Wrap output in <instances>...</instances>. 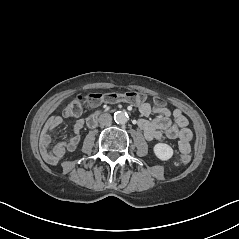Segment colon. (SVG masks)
I'll list each match as a JSON object with an SVG mask.
<instances>
[{
	"label": "colon",
	"mask_w": 239,
	"mask_h": 239,
	"mask_svg": "<svg viewBox=\"0 0 239 239\" xmlns=\"http://www.w3.org/2000/svg\"><path fill=\"white\" fill-rule=\"evenodd\" d=\"M147 99V96L143 93L139 92H106V93H93L90 94L86 102L89 105H98L100 103L108 102V103H117V102H131V103H142ZM84 98L82 96H76L69 101L67 104L64 115L67 117H78L82 113ZM158 106H162L163 103L160 100H155L154 102ZM179 163H188L191 160V156L189 154H183L177 158Z\"/></svg>",
	"instance_id": "1"
}]
</instances>
